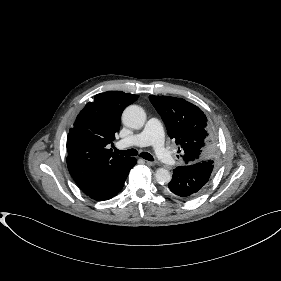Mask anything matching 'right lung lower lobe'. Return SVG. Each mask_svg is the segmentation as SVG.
<instances>
[{
	"label": "right lung lower lobe",
	"instance_id": "obj_1",
	"mask_svg": "<svg viewBox=\"0 0 281 281\" xmlns=\"http://www.w3.org/2000/svg\"><path fill=\"white\" fill-rule=\"evenodd\" d=\"M136 162L135 158H129L121 170L117 172L103 187L87 195L97 201L108 200L117 195L123 188L129 171L133 168Z\"/></svg>",
	"mask_w": 281,
	"mask_h": 281
}]
</instances>
